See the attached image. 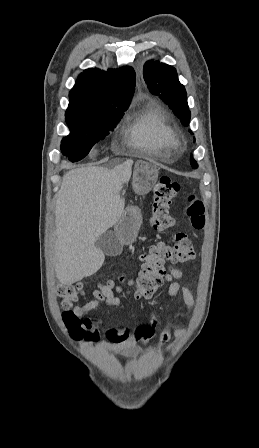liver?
<instances>
[{
    "label": "liver",
    "mask_w": 259,
    "mask_h": 448,
    "mask_svg": "<svg viewBox=\"0 0 259 448\" xmlns=\"http://www.w3.org/2000/svg\"><path fill=\"white\" fill-rule=\"evenodd\" d=\"M133 160L113 170L76 168L63 176L56 194L55 272L61 284H74L100 270L105 256L94 244L124 214L120 198L129 182Z\"/></svg>",
    "instance_id": "6515ba94"
}]
</instances>
